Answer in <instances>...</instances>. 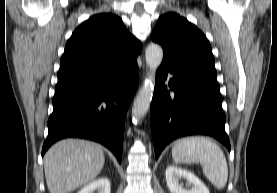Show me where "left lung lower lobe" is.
Masks as SVG:
<instances>
[{
    "instance_id": "0a47b994",
    "label": "left lung lower lobe",
    "mask_w": 277,
    "mask_h": 193,
    "mask_svg": "<svg viewBox=\"0 0 277 193\" xmlns=\"http://www.w3.org/2000/svg\"><path fill=\"white\" fill-rule=\"evenodd\" d=\"M168 73L173 75L169 80ZM150 124L156 159L171 141L189 135H209L231 149L219 83L213 73L161 64L150 106Z\"/></svg>"
}]
</instances>
